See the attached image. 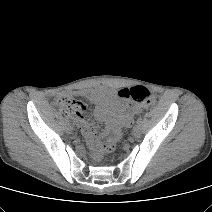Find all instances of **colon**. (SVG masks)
Returning <instances> with one entry per match:
<instances>
[{
  "instance_id": "colon-1",
  "label": "colon",
  "mask_w": 212,
  "mask_h": 212,
  "mask_svg": "<svg viewBox=\"0 0 212 212\" xmlns=\"http://www.w3.org/2000/svg\"><path fill=\"white\" fill-rule=\"evenodd\" d=\"M117 96L121 99H131L143 105H152L155 103V98L151 96L150 91L146 87L140 85L121 89L118 91ZM57 103L64 114L70 115L75 119L80 118L85 111V106L82 102L69 96L60 97ZM120 138L121 131L119 129L114 130L110 137L101 145L100 152H113ZM99 156L100 154L98 153L97 157Z\"/></svg>"
}]
</instances>
